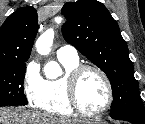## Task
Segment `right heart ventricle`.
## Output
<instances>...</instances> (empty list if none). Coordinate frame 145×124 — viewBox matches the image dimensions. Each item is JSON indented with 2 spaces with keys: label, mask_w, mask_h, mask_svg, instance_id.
I'll return each mask as SVG.
<instances>
[{
  "label": "right heart ventricle",
  "mask_w": 145,
  "mask_h": 124,
  "mask_svg": "<svg viewBox=\"0 0 145 124\" xmlns=\"http://www.w3.org/2000/svg\"><path fill=\"white\" fill-rule=\"evenodd\" d=\"M59 61L65 69V74L59 78L44 80L41 97L36 106L55 117H73L76 112L68 100L66 80L68 73L79 65V60L59 59Z\"/></svg>",
  "instance_id": "1"
}]
</instances>
